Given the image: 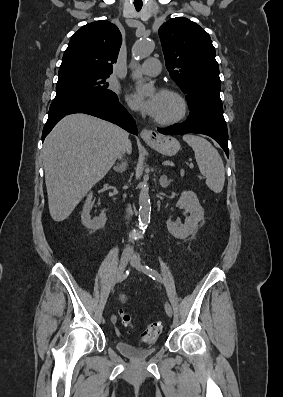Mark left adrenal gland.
<instances>
[{
	"mask_svg": "<svg viewBox=\"0 0 283 397\" xmlns=\"http://www.w3.org/2000/svg\"><path fill=\"white\" fill-rule=\"evenodd\" d=\"M172 180H168L166 175H161L159 179L160 186L163 188H167Z\"/></svg>",
	"mask_w": 283,
	"mask_h": 397,
	"instance_id": "left-adrenal-gland-1",
	"label": "left adrenal gland"
}]
</instances>
